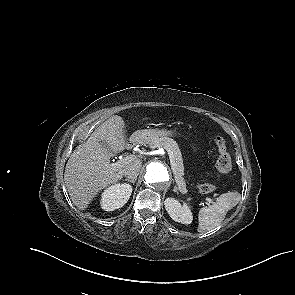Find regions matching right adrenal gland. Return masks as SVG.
<instances>
[{
	"label": "right adrenal gland",
	"instance_id": "1",
	"mask_svg": "<svg viewBox=\"0 0 295 295\" xmlns=\"http://www.w3.org/2000/svg\"><path fill=\"white\" fill-rule=\"evenodd\" d=\"M125 181L134 184L136 182V179H125Z\"/></svg>",
	"mask_w": 295,
	"mask_h": 295
}]
</instances>
